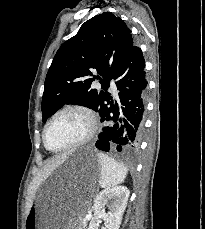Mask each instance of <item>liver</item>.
Segmentation results:
<instances>
[{
	"instance_id": "6515ba94",
	"label": "liver",
	"mask_w": 205,
	"mask_h": 229,
	"mask_svg": "<svg viewBox=\"0 0 205 229\" xmlns=\"http://www.w3.org/2000/svg\"><path fill=\"white\" fill-rule=\"evenodd\" d=\"M67 158V154H64L62 156H58L52 160H48L43 170L36 176L33 180V184H37L41 181H43L44 178L49 176L65 159ZM32 206V198L29 200L26 206V214L29 212L30 208Z\"/></svg>"
}]
</instances>
